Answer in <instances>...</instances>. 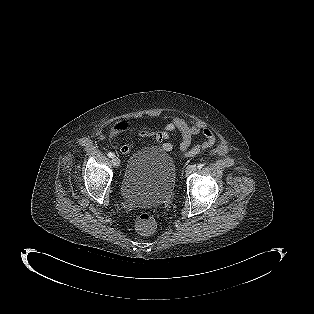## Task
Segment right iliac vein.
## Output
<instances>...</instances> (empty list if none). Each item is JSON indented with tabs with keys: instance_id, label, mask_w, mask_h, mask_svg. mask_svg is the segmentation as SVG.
Masks as SVG:
<instances>
[{
	"instance_id": "obj_1",
	"label": "right iliac vein",
	"mask_w": 314,
	"mask_h": 314,
	"mask_svg": "<svg viewBox=\"0 0 314 314\" xmlns=\"http://www.w3.org/2000/svg\"><path fill=\"white\" fill-rule=\"evenodd\" d=\"M112 163H113V165H114L116 168H118L119 165H120V159L115 156V157L112 158Z\"/></svg>"
}]
</instances>
